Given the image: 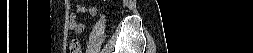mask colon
Returning <instances> with one entry per match:
<instances>
[{"label": "colon", "instance_id": "5ec220e1", "mask_svg": "<svg viewBox=\"0 0 253 53\" xmlns=\"http://www.w3.org/2000/svg\"><path fill=\"white\" fill-rule=\"evenodd\" d=\"M70 53H81V45L77 39H73L70 43Z\"/></svg>", "mask_w": 253, "mask_h": 53}]
</instances>
